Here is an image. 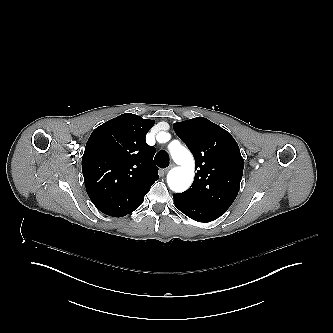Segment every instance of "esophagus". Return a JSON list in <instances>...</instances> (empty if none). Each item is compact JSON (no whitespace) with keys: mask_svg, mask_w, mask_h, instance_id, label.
I'll return each mask as SVG.
<instances>
[{"mask_svg":"<svg viewBox=\"0 0 333 333\" xmlns=\"http://www.w3.org/2000/svg\"><path fill=\"white\" fill-rule=\"evenodd\" d=\"M175 166L174 163H171L165 170L164 172L167 173L170 169H172Z\"/></svg>","mask_w":333,"mask_h":333,"instance_id":"obj_1","label":"esophagus"}]
</instances>
